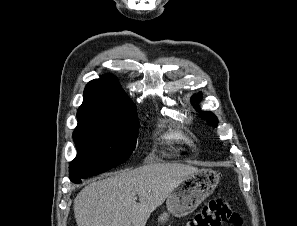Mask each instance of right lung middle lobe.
Here are the masks:
<instances>
[{
	"instance_id": "1",
	"label": "right lung middle lobe",
	"mask_w": 297,
	"mask_h": 226,
	"mask_svg": "<svg viewBox=\"0 0 297 226\" xmlns=\"http://www.w3.org/2000/svg\"><path fill=\"white\" fill-rule=\"evenodd\" d=\"M138 128L135 108L125 110L118 125H78L73 133L77 155L70 165V180L81 183L125 162L135 148Z\"/></svg>"
}]
</instances>
